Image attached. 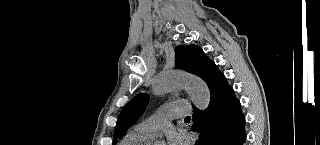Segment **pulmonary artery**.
Masks as SVG:
<instances>
[{
  "label": "pulmonary artery",
  "mask_w": 320,
  "mask_h": 145,
  "mask_svg": "<svg viewBox=\"0 0 320 145\" xmlns=\"http://www.w3.org/2000/svg\"><path fill=\"white\" fill-rule=\"evenodd\" d=\"M190 110L186 101H175L161 106L152 116L139 123L135 130L153 139L161 127L177 117L189 115Z\"/></svg>",
  "instance_id": "pulmonary-artery-1"
}]
</instances>
